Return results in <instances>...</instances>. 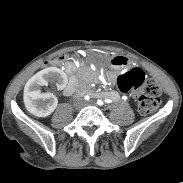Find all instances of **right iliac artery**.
<instances>
[{"mask_svg":"<svg viewBox=\"0 0 183 183\" xmlns=\"http://www.w3.org/2000/svg\"><path fill=\"white\" fill-rule=\"evenodd\" d=\"M84 99H85V100H89L90 97H89L88 95H86V96L84 97Z\"/></svg>","mask_w":183,"mask_h":183,"instance_id":"right-iliac-artery-1","label":"right iliac artery"}]
</instances>
